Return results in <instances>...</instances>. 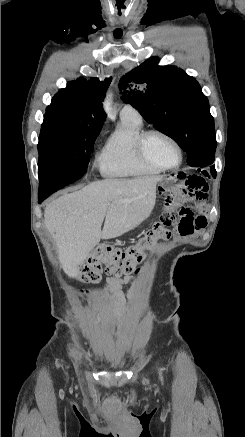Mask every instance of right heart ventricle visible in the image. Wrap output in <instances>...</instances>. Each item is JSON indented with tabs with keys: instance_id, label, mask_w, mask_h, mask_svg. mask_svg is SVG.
I'll return each instance as SVG.
<instances>
[{
	"instance_id": "right-heart-ventricle-1",
	"label": "right heart ventricle",
	"mask_w": 245,
	"mask_h": 437,
	"mask_svg": "<svg viewBox=\"0 0 245 437\" xmlns=\"http://www.w3.org/2000/svg\"><path fill=\"white\" fill-rule=\"evenodd\" d=\"M144 131L141 119L121 117L116 131L110 136L99 159L102 173L108 177H139L156 175L161 169L141 160L136 141Z\"/></svg>"
}]
</instances>
